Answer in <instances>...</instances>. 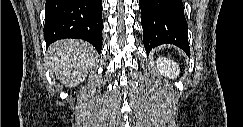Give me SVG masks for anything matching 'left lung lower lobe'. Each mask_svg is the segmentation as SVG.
I'll use <instances>...</instances> for the list:
<instances>
[{"label": "left lung lower lobe", "instance_id": "0a47b994", "mask_svg": "<svg viewBox=\"0 0 243 127\" xmlns=\"http://www.w3.org/2000/svg\"><path fill=\"white\" fill-rule=\"evenodd\" d=\"M143 42L147 54L161 44H173L189 55L187 22L182 0H139Z\"/></svg>", "mask_w": 243, "mask_h": 127}]
</instances>
